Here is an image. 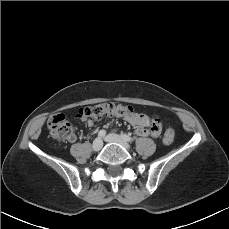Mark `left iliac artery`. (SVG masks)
I'll return each instance as SVG.
<instances>
[{"instance_id": "44dca946", "label": "left iliac artery", "mask_w": 229, "mask_h": 229, "mask_svg": "<svg viewBox=\"0 0 229 229\" xmlns=\"http://www.w3.org/2000/svg\"><path fill=\"white\" fill-rule=\"evenodd\" d=\"M121 138L127 142H133V139L131 136L127 135V134H121Z\"/></svg>"}]
</instances>
